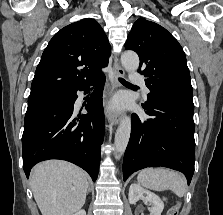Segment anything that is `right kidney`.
<instances>
[{"mask_svg": "<svg viewBox=\"0 0 223 215\" xmlns=\"http://www.w3.org/2000/svg\"><path fill=\"white\" fill-rule=\"evenodd\" d=\"M72 215H86L85 209H80V211H76V213H72Z\"/></svg>", "mask_w": 223, "mask_h": 215, "instance_id": "right-kidney-1", "label": "right kidney"}]
</instances>
